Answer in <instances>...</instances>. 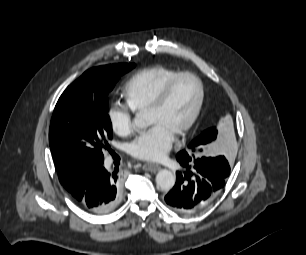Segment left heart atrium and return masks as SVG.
I'll use <instances>...</instances> for the list:
<instances>
[{
    "label": "left heart atrium",
    "instance_id": "left-heart-atrium-1",
    "mask_svg": "<svg viewBox=\"0 0 306 255\" xmlns=\"http://www.w3.org/2000/svg\"><path fill=\"white\" fill-rule=\"evenodd\" d=\"M174 135L160 124H153L129 146V153L137 159L158 161L172 147Z\"/></svg>",
    "mask_w": 306,
    "mask_h": 255
}]
</instances>
